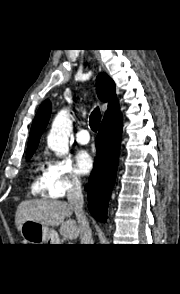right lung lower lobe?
<instances>
[{
  "label": "right lung lower lobe",
  "mask_w": 180,
  "mask_h": 294,
  "mask_svg": "<svg viewBox=\"0 0 180 294\" xmlns=\"http://www.w3.org/2000/svg\"><path fill=\"white\" fill-rule=\"evenodd\" d=\"M122 121L118 105L105 113L96 137V159L86 185L88 208L94 218L107 220V208L114 186L121 139Z\"/></svg>",
  "instance_id": "1"
}]
</instances>
